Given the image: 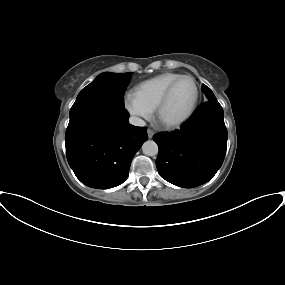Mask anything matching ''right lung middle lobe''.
<instances>
[{
  "label": "right lung middle lobe",
  "instance_id": "dd1d6c3e",
  "mask_svg": "<svg viewBox=\"0 0 285 285\" xmlns=\"http://www.w3.org/2000/svg\"><path fill=\"white\" fill-rule=\"evenodd\" d=\"M130 79L131 73H101L78 94L69 116L97 103L124 108L123 96Z\"/></svg>",
  "mask_w": 285,
  "mask_h": 285
}]
</instances>
